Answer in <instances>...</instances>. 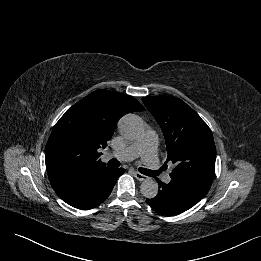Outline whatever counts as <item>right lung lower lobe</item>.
Wrapping results in <instances>:
<instances>
[{
	"label": "right lung lower lobe",
	"instance_id": "right-lung-lower-lobe-1",
	"mask_svg": "<svg viewBox=\"0 0 261 261\" xmlns=\"http://www.w3.org/2000/svg\"><path fill=\"white\" fill-rule=\"evenodd\" d=\"M123 168L106 167L88 177L55 190L56 194L72 207L89 210L102 203L111 193Z\"/></svg>",
	"mask_w": 261,
	"mask_h": 261
}]
</instances>
